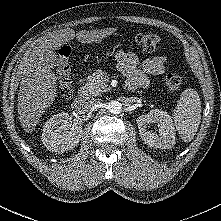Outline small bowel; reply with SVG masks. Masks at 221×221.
<instances>
[{"label":"small bowel","instance_id":"1","mask_svg":"<svg viewBox=\"0 0 221 221\" xmlns=\"http://www.w3.org/2000/svg\"><path fill=\"white\" fill-rule=\"evenodd\" d=\"M116 60L119 70L126 76L128 90L147 88L150 84L149 75L163 74L167 63L165 56H153L141 61L136 54L126 51H119Z\"/></svg>","mask_w":221,"mask_h":221}]
</instances>
